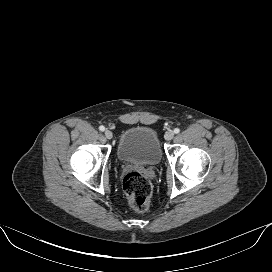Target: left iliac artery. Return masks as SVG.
<instances>
[{"label": "left iliac artery", "mask_w": 272, "mask_h": 272, "mask_svg": "<svg viewBox=\"0 0 272 272\" xmlns=\"http://www.w3.org/2000/svg\"><path fill=\"white\" fill-rule=\"evenodd\" d=\"M179 132H180V129H179V128H175V129H174V133H175V134H178Z\"/></svg>", "instance_id": "left-iliac-artery-1"}]
</instances>
